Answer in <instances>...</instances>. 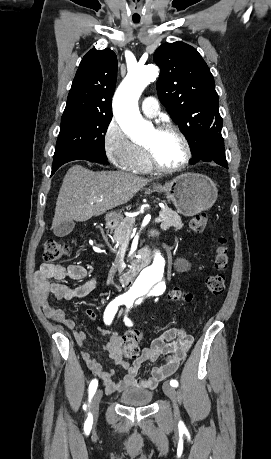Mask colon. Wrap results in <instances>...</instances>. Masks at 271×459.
Listing matches in <instances>:
<instances>
[{"mask_svg": "<svg viewBox=\"0 0 271 459\" xmlns=\"http://www.w3.org/2000/svg\"><path fill=\"white\" fill-rule=\"evenodd\" d=\"M210 217L206 212L195 215L190 221V229L200 232L209 224ZM69 248L66 244L56 239H48L44 243L43 258L48 262L57 261L68 254ZM230 263L226 240L220 238L219 246L216 250L215 266L218 270H225ZM225 278L221 274L211 275L205 280V288L212 296H219L224 291ZM169 298L172 300L183 299L186 302L191 300V295H182L179 291L173 290ZM142 341V332L138 329H132L124 335L123 354L126 358L132 359L139 355L140 343Z\"/></svg>", "mask_w": 271, "mask_h": 459, "instance_id": "colon-1", "label": "colon"}]
</instances>
